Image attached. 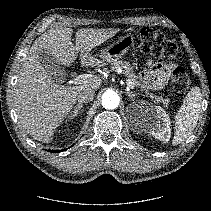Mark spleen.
<instances>
[{"label": "spleen", "instance_id": "3e777b00", "mask_svg": "<svg viewBox=\"0 0 211 211\" xmlns=\"http://www.w3.org/2000/svg\"><path fill=\"white\" fill-rule=\"evenodd\" d=\"M201 101L200 88L197 86L192 87L175 116L173 145L182 143L195 129L201 110Z\"/></svg>", "mask_w": 211, "mask_h": 211}]
</instances>
